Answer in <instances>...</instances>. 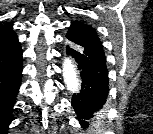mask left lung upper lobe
I'll use <instances>...</instances> for the list:
<instances>
[{
	"label": "left lung upper lobe",
	"mask_w": 153,
	"mask_h": 134,
	"mask_svg": "<svg viewBox=\"0 0 153 134\" xmlns=\"http://www.w3.org/2000/svg\"><path fill=\"white\" fill-rule=\"evenodd\" d=\"M67 39L81 46L82 49L104 55L102 43L96 31L80 21L72 22L66 35Z\"/></svg>",
	"instance_id": "5c2ea615"
}]
</instances>
